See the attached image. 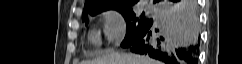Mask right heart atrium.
Returning <instances> with one entry per match:
<instances>
[{
    "label": "right heart atrium",
    "instance_id": "d8ad5b80",
    "mask_svg": "<svg viewBox=\"0 0 242 64\" xmlns=\"http://www.w3.org/2000/svg\"><path fill=\"white\" fill-rule=\"evenodd\" d=\"M103 32L109 44L119 43L126 34L127 23L116 9H108L102 15Z\"/></svg>",
    "mask_w": 242,
    "mask_h": 64
}]
</instances>
